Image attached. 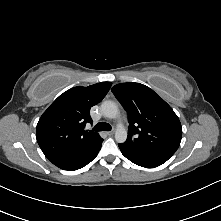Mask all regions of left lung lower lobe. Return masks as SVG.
Here are the masks:
<instances>
[{"label": "left lung lower lobe", "mask_w": 221, "mask_h": 221, "mask_svg": "<svg viewBox=\"0 0 221 221\" xmlns=\"http://www.w3.org/2000/svg\"><path fill=\"white\" fill-rule=\"evenodd\" d=\"M122 154L136 165L154 168L165 163L174 153L138 147L128 142L118 145Z\"/></svg>", "instance_id": "left-lung-lower-lobe-1"}]
</instances>
